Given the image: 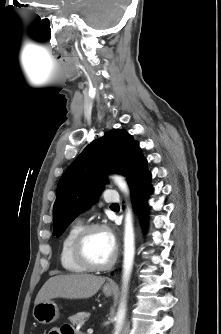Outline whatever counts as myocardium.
I'll return each mask as SVG.
<instances>
[{
  "mask_svg": "<svg viewBox=\"0 0 221 334\" xmlns=\"http://www.w3.org/2000/svg\"><path fill=\"white\" fill-rule=\"evenodd\" d=\"M96 230H104L110 233V229L107 225L101 223H91L83 226L77 233L73 246L72 252L75 260L87 270L91 271H104L110 269L116 262L118 257V247L115 244V251L112 258L105 264L94 263L87 255L85 250V244L89 235Z\"/></svg>",
  "mask_w": 221,
  "mask_h": 334,
  "instance_id": "f54148a6",
  "label": "myocardium"
}]
</instances>
